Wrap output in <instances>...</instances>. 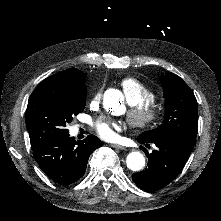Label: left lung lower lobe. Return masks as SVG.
<instances>
[{
  "label": "left lung lower lobe",
  "instance_id": "0a47b994",
  "mask_svg": "<svg viewBox=\"0 0 221 221\" xmlns=\"http://www.w3.org/2000/svg\"><path fill=\"white\" fill-rule=\"evenodd\" d=\"M137 141L148 148L149 143H153L157 147L150 154L143 146L140 147L146 153L149 161L147 168L132 175L133 182L140 189L150 193L168 185L181 172L192 152L168 137L148 140L138 136Z\"/></svg>",
  "mask_w": 221,
  "mask_h": 221
}]
</instances>
